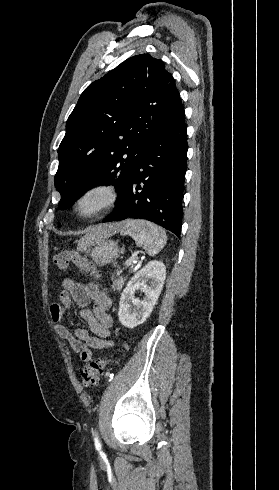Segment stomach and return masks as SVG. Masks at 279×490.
I'll return each mask as SVG.
<instances>
[{"label": "stomach", "mask_w": 279, "mask_h": 490, "mask_svg": "<svg viewBox=\"0 0 279 490\" xmlns=\"http://www.w3.org/2000/svg\"><path fill=\"white\" fill-rule=\"evenodd\" d=\"M122 248H119L117 242L113 240H98L95 242L94 248L88 250L86 254H89L96 266H108V264H113L119 258Z\"/></svg>", "instance_id": "stomach-1"}]
</instances>
